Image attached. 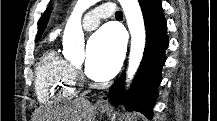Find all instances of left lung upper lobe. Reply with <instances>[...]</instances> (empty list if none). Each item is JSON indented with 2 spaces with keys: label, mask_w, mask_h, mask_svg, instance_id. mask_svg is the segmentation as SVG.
<instances>
[{
  "label": "left lung upper lobe",
  "mask_w": 217,
  "mask_h": 121,
  "mask_svg": "<svg viewBox=\"0 0 217 121\" xmlns=\"http://www.w3.org/2000/svg\"><path fill=\"white\" fill-rule=\"evenodd\" d=\"M50 12H51V7H48L39 21L37 40L40 38L47 25Z\"/></svg>",
  "instance_id": "left-lung-upper-lobe-1"
}]
</instances>
